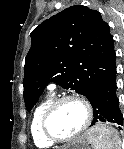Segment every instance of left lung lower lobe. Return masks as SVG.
I'll return each instance as SVG.
<instances>
[{"instance_id": "0a47b994", "label": "left lung lower lobe", "mask_w": 124, "mask_h": 149, "mask_svg": "<svg viewBox=\"0 0 124 149\" xmlns=\"http://www.w3.org/2000/svg\"><path fill=\"white\" fill-rule=\"evenodd\" d=\"M116 69L95 84L86 94L93 108V121L123 125V115L116 95Z\"/></svg>"}]
</instances>
